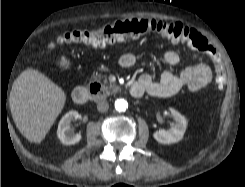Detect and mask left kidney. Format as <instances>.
<instances>
[{"label": "left kidney", "instance_id": "1", "mask_svg": "<svg viewBox=\"0 0 245 187\" xmlns=\"http://www.w3.org/2000/svg\"><path fill=\"white\" fill-rule=\"evenodd\" d=\"M169 114L174 119L175 124L168 131L159 130L153 134L154 139L161 144H172L179 142L186 131L187 121L183 115L173 108L169 109Z\"/></svg>", "mask_w": 245, "mask_h": 187}]
</instances>
